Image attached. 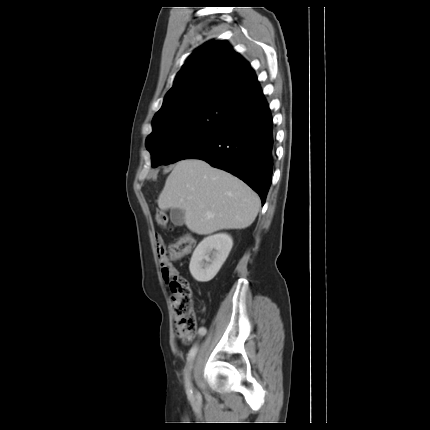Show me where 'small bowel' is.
I'll list each match as a JSON object with an SVG mask.
<instances>
[{
  "label": "small bowel",
  "mask_w": 430,
  "mask_h": 430,
  "mask_svg": "<svg viewBox=\"0 0 430 430\" xmlns=\"http://www.w3.org/2000/svg\"><path fill=\"white\" fill-rule=\"evenodd\" d=\"M156 244L157 246L163 244V240L160 235H156ZM157 260L160 263L161 272H162V280L164 283H171L173 280V276L178 275V270L175 268L170 262H168V258L163 251H160L157 254ZM207 333L206 327L202 326L198 330V334L200 336H204Z\"/></svg>",
  "instance_id": "1"
}]
</instances>
